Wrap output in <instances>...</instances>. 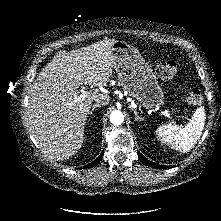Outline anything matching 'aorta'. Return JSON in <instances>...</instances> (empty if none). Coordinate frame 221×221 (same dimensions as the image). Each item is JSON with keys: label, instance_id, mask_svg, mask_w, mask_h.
<instances>
[{"label": "aorta", "instance_id": "aorta-1", "mask_svg": "<svg viewBox=\"0 0 221 221\" xmlns=\"http://www.w3.org/2000/svg\"><path fill=\"white\" fill-rule=\"evenodd\" d=\"M110 121L114 125H121L124 121V115L119 110H114L110 114Z\"/></svg>", "mask_w": 221, "mask_h": 221}]
</instances>
